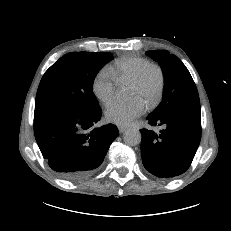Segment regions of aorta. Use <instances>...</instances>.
<instances>
[{
    "mask_svg": "<svg viewBox=\"0 0 231 231\" xmlns=\"http://www.w3.org/2000/svg\"><path fill=\"white\" fill-rule=\"evenodd\" d=\"M118 95L120 96L121 92H119ZM141 138V133L136 128H129L123 134V140L129 146L138 145L141 142Z\"/></svg>",
    "mask_w": 231,
    "mask_h": 231,
    "instance_id": "obj_1",
    "label": "aorta"
}]
</instances>
